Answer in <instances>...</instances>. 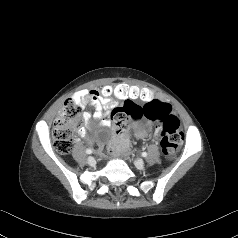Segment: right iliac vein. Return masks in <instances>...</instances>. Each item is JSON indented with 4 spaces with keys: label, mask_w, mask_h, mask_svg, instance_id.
Segmentation results:
<instances>
[{
    "label": "right iliac vein",
    "mask_w": 238,
    "mask_h": 238,
    "mask_svg": "<svg viewBox=\"0 0 238 238\" xmlns=\"http://www.w3.org/2000/svg\"><path fill=\"white\" fill-rule=\"evenodd\" d=\"M87 163H88L89 165H94V164H95V159H94L93 157H88Z\"/></svg>",
    "instance_id": "63e3f726"
}]
</instances>
